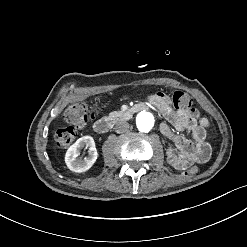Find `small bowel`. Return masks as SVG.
Wrapping results in <instances>:
<instances>
[{
  "label": "small bowel",
  "mask_w": 247,
  "mask_h": 247,
  "mask_svg": "<svg viewBox=\"0 0 247 247\" xmlns=\"http://www.w3.org/2000/svg\"><path fill=\"white\" fill-rule=\"evenodd\" d=\"M149 101L166 115L178 132L190 133L191 139H188L176 135L168 123L161 124V133L172 143L166 151L168 163L177 170H185L191 163L206 162L211 153L210 145L205 140L209 121L201 117L195 109L173 107L169 98L163 93L152 94ZM187 148H190L191 152L186 153Z\"/></svg>",
  "instance_id": "small-bowel-1"
}]
</instances>
